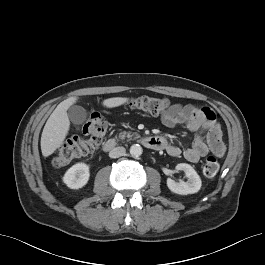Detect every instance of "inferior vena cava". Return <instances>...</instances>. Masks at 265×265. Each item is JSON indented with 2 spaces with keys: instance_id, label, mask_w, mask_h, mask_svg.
<instances>
[{
  "instance_id": "obj_1",
  "label": "inferior vena cava",
  "mask_w": 265,
  "mask_h": 265,
  "mask_svg": "<svg viewBox=\"0 0 265 265\" xmlns=\"http://www.w3.org/2000/svg\"><path fill=\"white\" fill-rule=\"evenodd\" d=\"M126 149L124 147H115L109 152L110 158H118L125 155Z\"/></svg>"
}]
</instances>
